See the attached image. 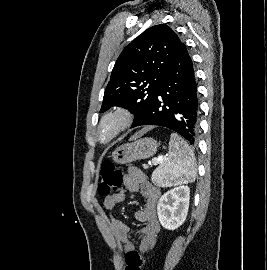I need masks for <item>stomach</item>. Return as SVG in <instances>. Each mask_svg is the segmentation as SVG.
Segmentation results:
<instances>
[{"mask_svg": "<svg viewBox=\"0 0 267 270\" xmlns=\"http://www.w3.org/2000/svg\"><path fill=\"white\" fill-rule=\"evenodd\" d=\"M159 143L153 138L135 139L131 143L119 146L112 153L113 160L119 164H126L153 156Z\"/></svg>", "mask_w": 267, "mask_h": 270, "instance_id": "0dacf381", "label": "stomach"}]
</instances>
